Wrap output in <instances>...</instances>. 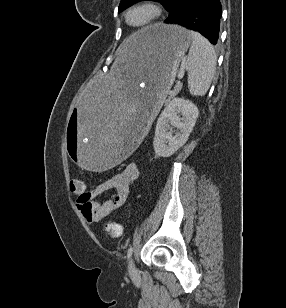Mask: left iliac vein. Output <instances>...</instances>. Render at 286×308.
I'll use <instances>...</instances> for the list:
<instances>
[{
    "label": "left iliac vein",
    "mask_w": 286,
    "mask_h": 308,
    "mask_svg": "<svg viewBox=\"0 0 286 308\" xmlns=\"http://www.w3.org/2000/svg\"><path fill=\"white\" fill-rule=\"evenodd\" d=\"M129 273L131 276H135L137 274V268L133 259L129 262Z\"/></svg>",
    "instance_id": "left-iliac-vein-1"
}]
</instances>
